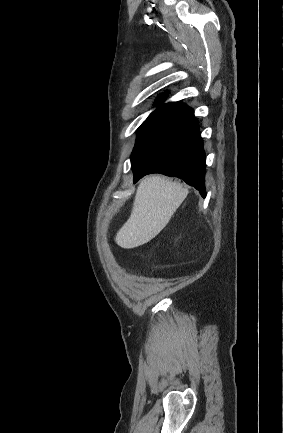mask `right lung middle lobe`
Wrapping results in <instances>:
<instances>
[{
	"label": "right lung middle lobe",
	"instance_id": "right-lung-middle-lobe-1",
	"mask_svg": "<svg viewBox=\"0 0 283 433\" xmlns=\"http://www.w3.org/2000/svg\"><path fill=\"white\" fill-rule=\"evenodd\" d=\"M159 114L156 113H152L144 122L143 124L139 127L138 129V134L150 123L152 122L154 119H156L157 117H159Z\"/></svg>",
	"mask_w": 283,
	"mask_h": 433
}]
</instances>
